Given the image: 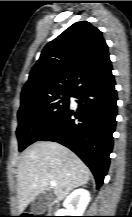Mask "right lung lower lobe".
Instances as JSON below:
<instances>
[{"instance_id": "98d812e1", "label": "right lung lower lobe", "mask_w": 132, "mask_h": 217, "mask_svg": "<svg viewBox=\"0 0 132 217\" xmlns=\"http://www.w3.org/2000/svg\"><path fill=\"white\" fill-rule=\"evenodd\" d=\"M73 97L77 99V111L68 107L39 140L58 142L70 148L91 169L97 187H100L109 167L112 133L116 126L117 93L114 77L82 89Z\"/></svg>"}]
</instances>
